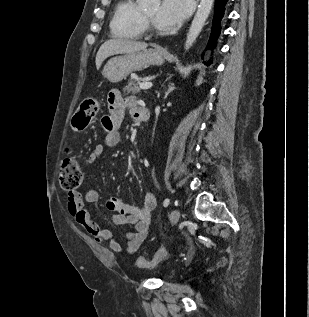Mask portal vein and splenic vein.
<instances>
[{
    "instance_id": "obj_1",
    "label": "portal vein and splenic vein",
    "mask_w": 309,
    "mask_h": 317,
    "mask_svg": "<svg viewBox=\"0 0 309 317\" xmlns=\"http://www.w3.org/2000/svg\"><path fill=\"white\" fill-rule=\"evenodd\" d=\"M153 86L152 82L149 81H144L139 84L140 89L142 90H148Z\"/></svg>"
}]
</instances>
